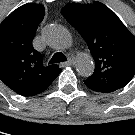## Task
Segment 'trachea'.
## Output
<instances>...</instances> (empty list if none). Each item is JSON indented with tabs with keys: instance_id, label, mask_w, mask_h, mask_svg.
Wrapping results in <instances>:
<instances>
[{
	"instance_id": "1",
	"label": "trachea",
	"mask_w": 135,
	"mask_h": 135,
	"mask_svg": "<svg viewBox=\"0 0 135 135\" xmlns=\"http://www.w3.org/2000/svg\"><path fill=\"white\" fill-rule=\"evenodd\" d=\"M64 61H67V58L65 57V55L61 52H57L52 56L49 63L54 64V63H60Z\"/></svg>"
}]
</instances>
